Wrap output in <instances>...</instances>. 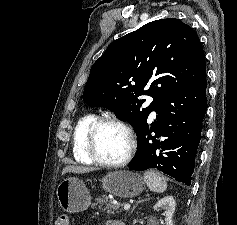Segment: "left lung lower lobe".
Here are the masks:
<instances>
[{
	"mask_svg": "<svg viewBox=\"0 0 237 225\" xmlns=\"http://www.w3.org/2000/svg\"><path fill=\"white\" fill-rule=\"evenodd\" d=\"M206 87L205 79L155 103L151 111L157 113L156 120L149 125L146 119L136 131L137 152L128 168H156L179 182L191 184L207 108Z\"/></svg>",
	"mask_w": 237,
	"mask_h": 225,
	"instance_id": "0a47b994",
	"label": "left lung lower lobe"
}]
</instances>
